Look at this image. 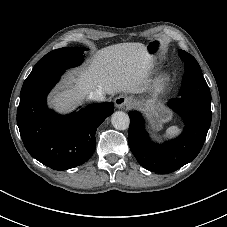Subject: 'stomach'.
<instances>
[{
    "mask_svg": "<svg viewBox=\"0 0 227 227\" xmlns=\"http://www.w3.org/2000/svg\"><path fill=\"white\" fill-rule=\"evenodd\" d=\"M146 47L148 53L152 56L158 55L162 50L161 44L158 42H151ZM144 108L150 112V120L155 127H161L170 119L169 113L165 109H158L157 105L147 103Z\"/></svg>",
    "mask_w": 227,
    "mask_h": 227,
    "instance_id": "1",
    "label": "stomach"
}]
</instances>
